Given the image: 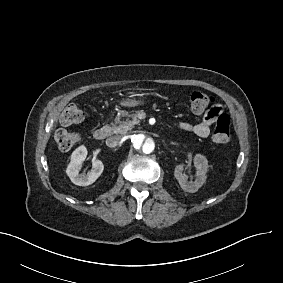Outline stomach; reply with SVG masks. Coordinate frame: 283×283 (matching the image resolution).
I'll return each mask as SVG.
<instances>
[{
  "label": "stomach",
  "mask_w": 283,
  "mask_h": 283,
  "mask_svg": "<svg viewBox=\"0 0 283 283\" xmlns=\"http://www.w3.org/2000/svg\"><path fill=\"white\" fill-rule=\"evenodd\" d=\"M146 102L142 99L123 98L118 100V105L124 108H132L145 105Z\"/></svg>",
  "instance_id": "stomach-1"
}]
</instances>
